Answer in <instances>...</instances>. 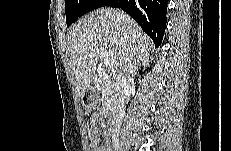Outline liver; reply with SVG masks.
I'll list each match as a JSON object with an SVG mask.
<instances>
[{
	"label": "liver",
	"mask_w": 231,
	"mask_h": 151,
	"mask_svg": "<svg viewBox=\"0 0 231 151\" xmlns=\"http://www.w3.org/2000/svg\"><path fill=\"white\" fill-rule=\"evenodd\" d=\"M153 48L151 39L129 15L114 8L92 11L73 25L67 39L79 97L89 90L102 51L114 61L115 74L126 68L129 76Z\"/></svg>",
	"instance_id": "6515ba94"
}]
</instances>
